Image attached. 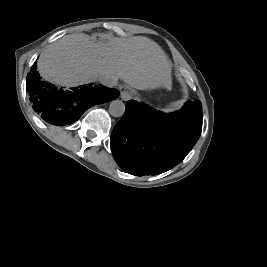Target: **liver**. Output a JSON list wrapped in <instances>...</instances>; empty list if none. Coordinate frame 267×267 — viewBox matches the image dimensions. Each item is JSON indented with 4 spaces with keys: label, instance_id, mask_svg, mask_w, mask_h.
<instances>
[{
    "label": "liver",
    "instance_id": "liver-1",
    "mask_svg": "<svg viewBox=\"0 0 267 267\" xmlns=\"http://www.w3.org/2000/svg\"><path fill=\"white\" fill-rule=\"evenodd\" d=\"M37 67L44 79L62 86L87 84L103 74L139 90L171 84L168 57L144 36L95 42L84 33L68 34L43 50Z\"/></svg>",
    "mask_w": 267,
    "mask_h": 267
}]
</instances>
